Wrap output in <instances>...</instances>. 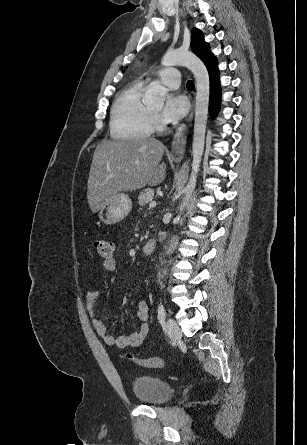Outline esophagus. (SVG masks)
Wrapping results in <instances>:
<instances>
[{
  "mask_svg": "<svg viewBox=\"0 0 307 445\" xmlns=\"http://www.w3.org/2000/svg\"><path fill=\"white\" fill-rule=\"evenodd\" d=\"M193 117H194V111L192 109L185 123L179 126V128H177L176 130L171 146V156L174 158L182 159L184 157L187 135L189 132V128L192 125Z\"/></svg>",
  "mask_w": 307,
  "mask_h": 445,
  "instance_id": "esophagus-1",
  "label": "esophagus"
}]
</instances>
